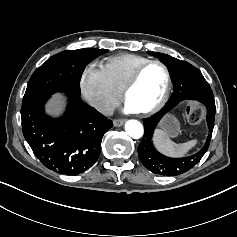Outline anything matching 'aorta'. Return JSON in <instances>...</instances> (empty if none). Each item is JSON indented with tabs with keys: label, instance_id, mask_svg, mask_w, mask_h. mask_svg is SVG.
Wrapping results in <instances>:
<instances>
[{
	"label": "aorta",
	"instance_id": "1",
	"mask_svg": "<svg viewBox=\"0 0 237 237\" xmlns=\"http://www.w3.org/2000/svg\"><path fill=\"white\" fill-rule=\"evenodd\" d=\"M126 134L133 139H140L144 135V127L137 120H130L125 125Z\"/></svg>",
	"mask_w": 237,
	"mask_h": 237
}]
</instances>
